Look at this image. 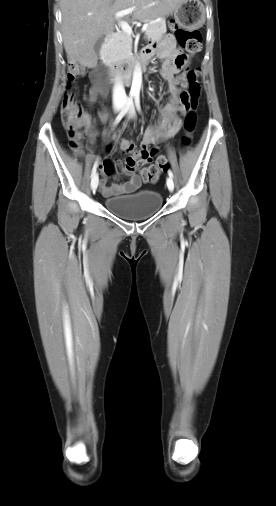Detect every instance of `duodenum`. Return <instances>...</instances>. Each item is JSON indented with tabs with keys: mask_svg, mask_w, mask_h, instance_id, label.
Returning <instances> with one entry per match:
<instances>
[{
	"mask_svg": "<svg viewBox=\"0 0 276 506\" xmlns=\"http://www.w3.org/2000/svg\"><path fill=\"white\" fill-rule=\"evenodd\" d=\"M113 33H108L104 37V44L107 45L111 42ZM148 62V57L142 53L139 57L133 59L131 62H110L109 68L113 80L128 81L131 79L138 67H144Z\"/></svg>",
	"mask_w": 276,
	"mask_h": 506,
	"instance_id": "1",
	"label": "duodenum"
}]
</instances>
